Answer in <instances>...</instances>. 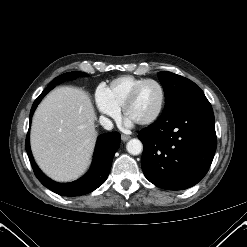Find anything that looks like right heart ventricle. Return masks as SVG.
<instances>
[{"instance_id":"e07e8e85","label":"right heart ventricle","mask_w":247,"mask_h":247,"mask_svg":"<svg viewBox=\"0 0 247 247\" xmlns=\"http://www.w3.org/2000/svg\"><path fill=\"white\" fill-rule=\"evenodd\" d=\"M143 80L145 78L132 75H125L112 80L106 87L111 102L119 109L122 108L132 89Z\"/></svg>"}]
</instances>
